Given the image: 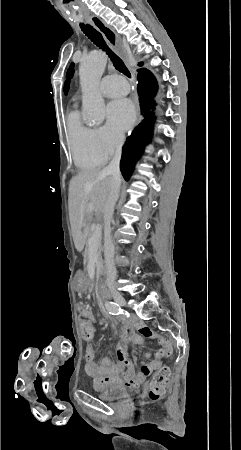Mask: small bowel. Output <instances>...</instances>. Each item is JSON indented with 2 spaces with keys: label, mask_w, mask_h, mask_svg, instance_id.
<instances>
[{
  "label": "small bowel",
  "mask_w": 241,
  "mask_h": 450,
  "mask_svg": "<svg viewBox=\"0 0 241 450\" xmlns=\"http://www.w3.org/2000/svg\"><path fill=\"white\" fill-rule=\"evenodd\" d=\"M80 290L85 288L83 283L78 285ZM83 319L82 324H93V312L86 306L80 308ZM157 337L160 344L168 347V341L163 337L157 336L154 332L143 322L136 321L132 325H126L120 328L119 336L121 338V345L117 349V361L104 357L99 362L95 361L96 349L93 347H86L84 357L86 360V373L94 380L96 388L101 389L110 385H124L128 388L136 389L147 379L152 370L157 368L161 361L160 359L152 360L150 363L143 361L139 373H135V369L127 356V348L130 344H139L142 337L147 336ZM169 352L165 355H168ZM150 353H147L146 360L149 359Z\"/></svg>",
  "instance_id": "c3829d8e"
}]
</instances>
